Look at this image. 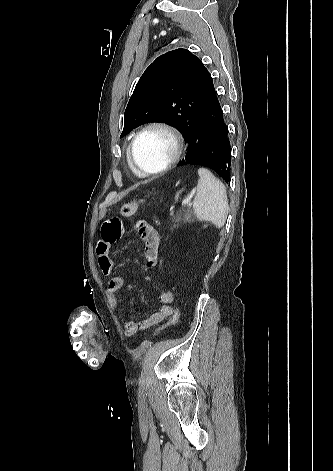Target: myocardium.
<instances>
[{"label":"myocardium","mask_w":333,"mask_h":471,"mask_svg":"<svg viewBox=\"0 0 333 471\" xmlns=\"http://www.w3.org/2000/svg\"><path fill=\"white\" fill-rule=\"evenodd\" d=\"M152 129H160L167 132L174 143V151L170 159L159 169L146 170L139 166L134 157V148L138 139L147 131ZM184 148V139L181 133L171 124L164 121H152L145 124L140 128L130 141L128 147V161L134 171L138 172L142 176H153L166 172L170 169L181 157Z\"/></svg>","instance_id":"f54148a6"}]
</instances>
